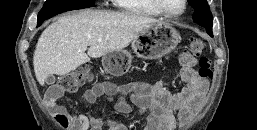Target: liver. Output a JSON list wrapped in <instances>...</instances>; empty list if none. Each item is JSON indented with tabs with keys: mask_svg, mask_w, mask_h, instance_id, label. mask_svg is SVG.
Instances as JSON below:
<instances>
[{
	"mask_svg": "<svg viewBox=\"0 0 257 130\" xmlns=\"http://www.w3.org/2000/svg\"><path fill=\"white\" fill-rule=\"evenodd\" d=\"M161 23L130 13L93 10L61 17L38 39L33 56L36 79L43 85L50 75H67L90 58L123 50L141 32Z\"/></svg>",
	"mask_w": 257,
	"mask_h": 130,
	"instance_id": "6515ba94",
	"label": "liver"
}]
</instances>
